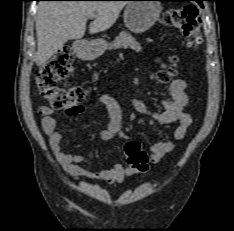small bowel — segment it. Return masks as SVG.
<instances>
[{
	"instance_id": "1",
	"label": "small bowel",
	"mask_w": 234,
	"mask_h": 231,
	"mask_svg": "<svg viewBox=\"0 0 234 231\" xmlns=\"http://www.w3.org/2000/svg\"><path fill=\"white\" fill-rule=\"evenodd\" d=\"M162 66L165 64L158 60ZM105 107V112L100 113L101 117L107 116V128L100 132L102 140H110L115 137L127 139V135L122 129L123 115L121 107L111 95L104 94L100 98ZM131 103L135 111L145 117H148L159 124L168 125L177 123L173 132L174 140H161L156 142L151 149L150 161L153 164L159 163L167 154L178 148V141L184 138L188 128L192 123V118L185 111L188 103L186 93V83L181 78L174 79L169 86V97L161 101L162 110L153 111L138 98L132 97ZM86 111L82 105H77L67 111V115H81ZM54 111L49 106H40L41 128L48 137L51 151L61 165V167L73 177H81L94 180H102L110 184L121 183L126 177L136 173V169L131 165H122L115 163L111 168L100 171H88L80 167V164L86 160L84 155H75L62 150V134L57 130V120L53 115Z\"/></svg>"
}]
</instances>
